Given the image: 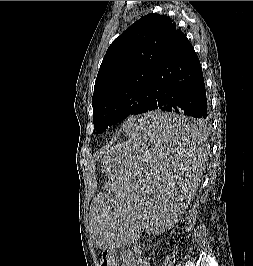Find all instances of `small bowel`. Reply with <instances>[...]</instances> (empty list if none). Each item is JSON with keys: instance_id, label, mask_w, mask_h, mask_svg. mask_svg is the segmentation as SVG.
<instances>
[{"instance_id": "1", "label": "small bowel", "mask_w": 253, "mask_h": 266, "mask_svg": "<svg viewBox=\"0 0 253 266\" xmlns=\"http://www.w3.org/2000/svg\"><path fill=\"white\" fill-rule=\"evenodd\" d=\"M120 266H150V264L143 256L142 248L138 247L123 252Z\"/></svg>"}]
</instances>
